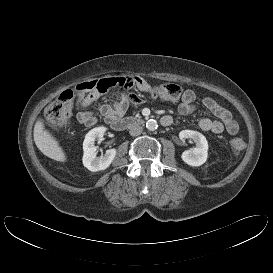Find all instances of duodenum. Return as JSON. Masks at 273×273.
<instances>
[{
	"mask_svg": "<svg viewBox=\"0 0 273 273\" xmlns=\"http://www.w3.org/2000/svg\"><path fill=\"white\" fill-rule=\"evenodd\" d=\"M114 130L122 131L132 126H138L144 124V119L138 117H128V118H111L107 122ZM161 124L163 126H169L171 120L165 117L161 118Z\"/></svg>",
	"mask_w": 273,
	"mask_h": 273,
	"instance_id": "obj_1",
	"label": "duodenum"
}]
</instances>
